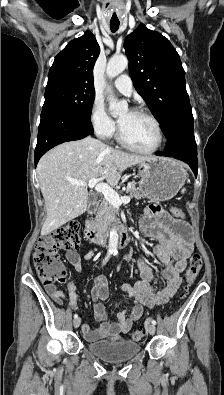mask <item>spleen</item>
<instances>
[{"mask_svg": "<svg viewBox=\"0 0 224 395\" xmlns=\"http://www.w3.org/2000/svg\"><path fill=\"white\" fill-rule=\"evenodd\" d=\"M184 192H185V189L182 190V193H184Z\"/></svg>", "mask_w": 224, "mask_h": 395, "instance_id": "3e777b00", "label": "spleen"}]
</instances>
